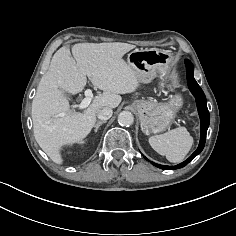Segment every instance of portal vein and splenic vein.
I'll list each match as a JSON object with an SVG mask.
<instances>
[{
  "instance_id": "18ae733b",
  "label": "portal vein and splenic vein",
  "mask_w": 236,
  "mask_h": 236,
  "mask_svg": "<svg viewBox=\"0 0 236 236\" xmlns=\"http://www.w3.org/2000/svg\"><path fill=\"white\" fill-rule=\"evenodd\" d=\"M85 96L86 98H84L78 106L80 110L87 108L91 103V98L93 97L92 90L86 89Z\"/></svg>"
}]
</instances>
